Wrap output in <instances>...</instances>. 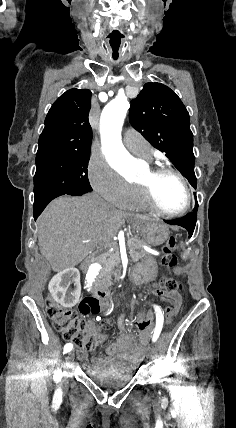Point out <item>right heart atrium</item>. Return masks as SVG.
Returning <instances> with one entry per match:
<instances>
[{"label": "right heart atrium", "instance_id": "obj_1", "mask_svg": "<svg viewBox=\"0 0 236 428\" xmlns=\"http://www.w3.org/2000/svg\"><path fill=\"white\" fill-rule=\"evenodd\" d=\"M89 183L101 200H108L109 206H124L131 194V186L108 164L96 157L90 160Z\"/></svg>", "mask_w": 236, "mask_h": 428}]
</instances>
